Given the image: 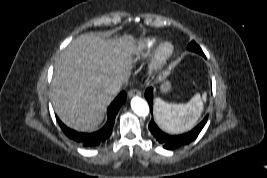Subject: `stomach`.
Returning a JSON list of instances; mask_svg holds the SVG:
<instances>
[{
    "instance_id": "0dacf381",
    "label": "stomach",
    "mask_w": 267,
    "mask_h": 178,
    "mask_svg": "<svg viewBox=\"0 0 267 178\" xmlns=\"http://www.w3.org/2000/svg\"><path fill=\"white\" fill-rule=\"evenodd\" d=\"M171 88L172 86L169 81H164L160 86V90L162 93H168L171 90Z\"/></svg>"
}]
</instances>
